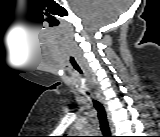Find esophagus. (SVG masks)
<instances>
[{
	"mask_svg": "<svg viewBox=\"0 0 160 137\" xmlns=\"http://www.w3.org/2000/svg\"><path fill=\"white\" fill-rule=\"evenodd\" d=\"M100 101L103 103L102 99H100ZM107 116H108V119H109V123H110V125H111L109 113H107Z\"/></svg>",
	"mask_w": 160,
	"mask_h": 137,
	"instance_id": "1",
	"label": "esophagus"
}]
</instances>
